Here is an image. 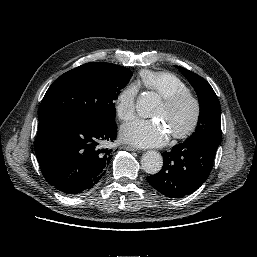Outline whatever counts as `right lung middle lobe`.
Returning a JSON list of instances; mask_svg holds the SVG:
<instances>
[{"mask_svg":"<svg viewBox=\"0 0 257 257\" xmlns=\"http://www.w3.org/2000/svg\"><path fill=\"white\" fill-rule=\"evenodd\" d=\"M132 72L110 63H86L57 78L47 90L38 120L69 114L95 122L115 123V100Z\"/></svg>","mask_w":257,"mask_h":257,"instance_id":"obj_1","label":"right lung middle lobe"}]
</instances>
